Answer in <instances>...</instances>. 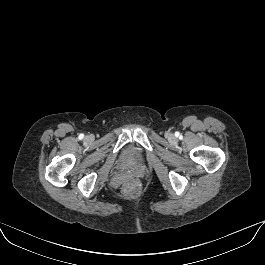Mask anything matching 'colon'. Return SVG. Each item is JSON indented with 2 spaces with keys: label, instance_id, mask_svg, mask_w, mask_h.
<instances>
[{
  "label": "colon",
  "instance_id": "colon-1",
  "mask_svg": "<svg viewBox=\"0 0 265 265\" xmlns=\"http://www.w3.org/2000/svg\"><path fill=\"white\" fill-rule=\"evenodd\" d=\"M138 185L135 182L129 183L124 190L127 194H134L137 191Z\"/></svg>",
  "mask_w": 265,
  "mask_h": 265
}]
</instances>
